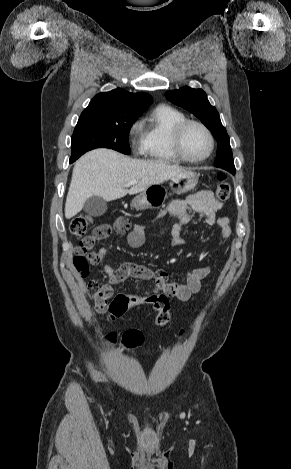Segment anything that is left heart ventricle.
<instances>
[{"instance_id": "obj_1", "label": "left heart ventricle", "mask_w": 291, "mask_h": 469, "mask_svg": "<svg viewBox=\"0 0 291 469\" xmlns=\"http://www.w3.org/2000/svg\"><path fill=\"white\" fill-rule=\"evenodd\" d=\"M209 139L206 133L198 126H189L183 136V148L187 156L201 158L209 150Z\"/></svg>"}]
</instances>
